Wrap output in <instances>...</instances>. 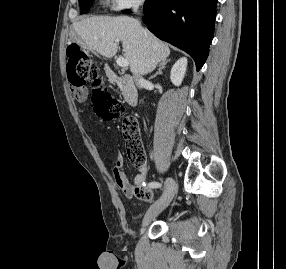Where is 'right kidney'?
I'll return each mask as SVG.
<instances>
[{"instance_id":"1","label":"right kidney","mask_w":286,"mask_h":269,"mask_svg":"<svg viewBox=\"0 0 286 269\" xmlns=\"http://www.w3.org/2000/svg\"><path fill=\"white\" fill-rule=\"evenodd\" d=\"M187 69V58L182 57L176 61L173 65L170 73V79L173 85L180 86L183 78L185 76V72Z\"/></svg>"}]
</instances>
